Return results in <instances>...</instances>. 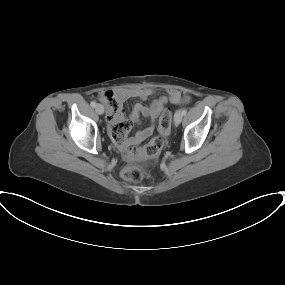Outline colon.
Masks as SVG:
<instances>
[{
	"label": "colon",
	"instance_id": "1",
	"mask_svg": "<svg viewBox=\"0 0 285 285\" xmlns=\"http://www.w3.org/2000/svg\"><path fill=\"white\" fill-rule=\"evenodd\" d=\"M101 100L106 104L107 111L117 113L121 109V101L111 93L101 95ZM172 126V114L170 110H165L159 120V135L152 138L146 145L141 147H129L126 150V156L130 159L140 158L144 161L139 165L128 166L123 171V176L129 180L138 182L146 179L150 175V158L157 156L164 147V137L170 132ZM130 125L125 122H119L110 126V136L112 140L122 145L128 135Z\"/></svg>",
	"mask_w": 285,
	"mask_h": 285
}]
</instances>
